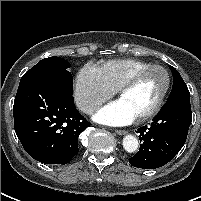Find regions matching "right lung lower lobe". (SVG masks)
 Wrapping results in <instances>:
<instances>
[{"mask_svg": "<svg viewBox=\"0 0 201 201\" xmlns=\"http://www.w3.org/2000/svg\"><path fill=\"white\" fill-rule=\"evenodd\" d=\"M73 89L46 77L20 81L14 128L25 151L44 164H67L78 153V136L90 124L78 112Z\"/></svg>", "mask_w": 201, "mask_h": 201, "instance_id": "right-lung-lower-lobe-1", "label": "right lung lower lobe"}]
</instances>
